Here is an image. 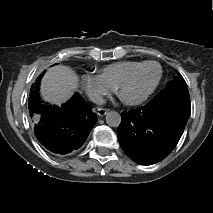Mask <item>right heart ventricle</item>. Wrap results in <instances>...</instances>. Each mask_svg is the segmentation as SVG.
I'll return each instance as SVG.
<instances>
[{
    "instance_id": "1",
    "label": "right heart ventricle",
    "mask_w": 213,
    "mask_h": 213,
    "mask_svg": "<svg viewBox=\"0 0 213 213\" xmlns=\"http://www.w3.org/2000/svg\"><path fill=\"white\" fill-rule=\"evenodd\" d=\"M139 63V61H118L104 66L100 70V76L108 82L114 89L117 88L119 82Z\"/></svg>"
}]
</instances>
